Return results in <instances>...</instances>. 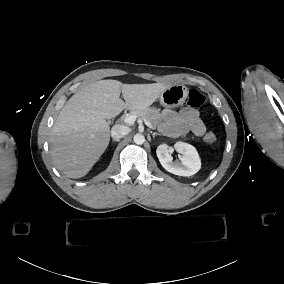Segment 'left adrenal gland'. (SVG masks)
<instances>
[{"mask_svg":"<svg viewBox=\"0 0 284 284\" xmlns=\"http://www.w3.org/2000/svg\"><path fill=\"white\" fill-rule=\"evenodd\" d=\"M151 134H152V137H153V138H155V136H162V134H159V133H156V132H154V133L151 132Z\"/></svg>","mask_w":284,"mask_h":284,"instance_id":"a2214340","label":"left adrenal gland"}]
</instances>
